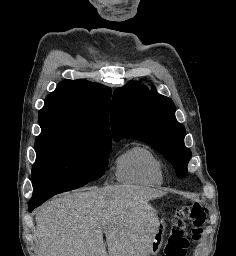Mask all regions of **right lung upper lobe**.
Instances as JSON below:
<instances>
[{
    "label": "right lung upper lobe",
    "instance_id": "1",
    "mask_svg": "<svg viewBox=\"0 0 236 256\" xmlns=\"http://www.w3.org/2000/svg\"><path fill=\"white\" fill-rule=\"evenodd\" d=\"M111 89L83 79L64 80L39 111L41 129L70 128L111 138L108 108Z\"/></svg>",
    "mask_w": 236,
    "mask_h": 256
}]
</instances>
